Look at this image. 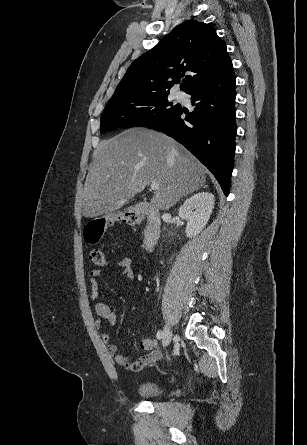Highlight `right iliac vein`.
Returning <instances> with one entry per match:
<instances>
[{"mask_svg":"<svg viewBox=\"0 0 307 445\" xmlns=\"http://www.w3.org/2000/svg\"><path fill=\"white\" fill-rule=\"evenodd\" d=\"M172 339V330L169 325H166L162 335V345L166 347Z\"/></svg>","mask_w":307,"mask_h":445,"instance_id":"1","label":"right iliac vein"}]
</instances>
